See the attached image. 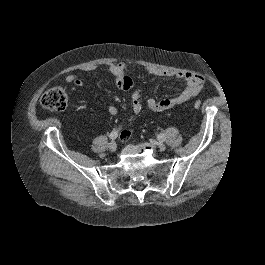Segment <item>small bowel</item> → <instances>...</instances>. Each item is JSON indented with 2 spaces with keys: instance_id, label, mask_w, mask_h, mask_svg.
Returning a JSON list of instances; mask_svg holds the SVG:
<instances>
[{
  "instance_id": "obj_1",
  "label": "small bowel",
  "mask_w": 265,
  "mask_h": 265,
  "mask_svg": "<svg viewBox=\"0 0 265 265\" xmlns=\"http://www.w3.org/2000/svg\"><path fill=\"white\" fill-rule=\"evenodd\" d=\"M139 69L138 64H129L126 62L112 63L106 66V71L114 78L117 87L122 91H129L133 88V80L126 75V71L130 68ZM97 69L96 66H85L81 68L82 72H92ZM146 71L155 76L172 77L182 80L186 83V87L176 96L155 100L148 98L145 101L146 108L149 112H164L170 110L178 105H181L193 97L197 96L204 87L205 80L202 76L185 72V71H168L158 68H146ZM65 81L74 84L77 87L83 86V80L78 74H69L66 76ZM131 105L134 113L138 114L143 108V97L140 90H134L131 95ZM107 111L111 116L118 114V109L115 105L109 104ZM131 135V131H123L121 133L122 139H127Z\"/></svg>"
}]
</instances>
